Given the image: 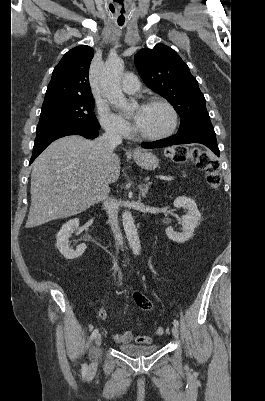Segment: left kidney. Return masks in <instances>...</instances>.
I'll list each match as a JSON object with an SVG mask.
<instances>
[{"label":"left kidney","instance_id":"5707ae66","mask_svg":"<svg viewBox=\"0 0 265 401\" xmlns=\"http://www.w3.org/2000/svg\"><path fill=\"white\" fill-rule=\"evenodd\" d=\"M174 207H177V209H180V207L187 209V215H183L182 217L183 233H175L172 227H168L165 233L171 241H176V243H185V241H188L190 237H193L194 229H196L198 221L201 219V215L197 209L195 201H193V198H189V196H177L174 201Z\"/></svg>","mask_w":265,"mask_h":401}]
</instances>
